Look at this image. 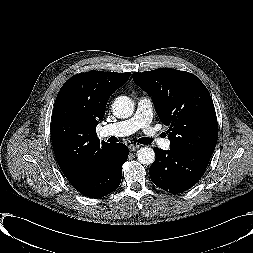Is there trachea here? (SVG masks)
I'll return each mask as SVG.
<instances>
[{
  "label": "trachea",
  "instance_id": "1",
  "mask_svg": "<svg viewBox=\"0 0 253 253\" xmlns=\"http://www.w3.org/2000/svg\"><path fill=\"white\" fill-rule=\"evenodd\" d=\"M137 142L140 143V144H149V143H151V141L146 137L138 139Z\"/></svg>",
  "mask_w": 253,
  "mask_h": 253
}]
</instances>
